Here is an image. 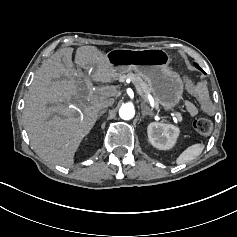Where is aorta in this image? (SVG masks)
Masks as SVG:
<instances>
[{"label": "aorta", "instance_id": "obj_1", "mask_svg": "<svg viewBox=\"0 0 237 237\" xmlns=\"http://www.w3.org/2000/svg\"><path fill=\"white\" fill-rule=\"evenodd\" d=\"M135 110L133 105L126 103L122 105L119 109V116L124 120H130L134 117Z\"/></svg>", "mask_w": 237, "mask_h": 237}]
</instances>
